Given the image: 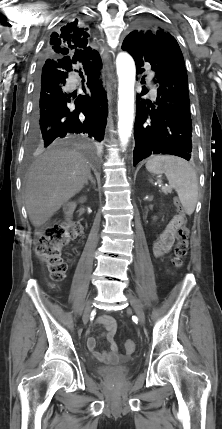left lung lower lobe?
<instances>
[{"instance_id":"0a47b994","label":"left lung lower lobe","mask_w":222,"mask_h":429,"mask_svg":"<svg viewBox=\"0 0 222 429\" xmlns=\"http://www.w3.org/2000/svg\"><path fill=\"white\" fill-rule=\"evenodd\" d=\"M162 39L155 50H149L146 42H137L128 51L137 73L145 70V63L151 65L158 86L156 105L141 98L148 92L144 86L137 95L134 166L154 154H171L188 161L191 157L192 120L184 58L173 36L165 33Z\"/></svg>"}]
</instances>
